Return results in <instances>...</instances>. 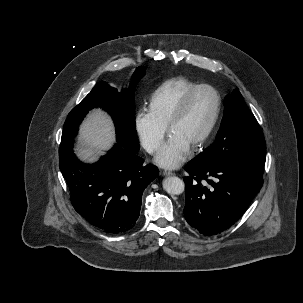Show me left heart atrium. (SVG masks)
<instances>
[{
  "mask_svg": "<svg viewBox=\"0 0 303 303\" xmlns=\"http://www.w3.org/2000/svg\"><path fill=\"white\" fill-rule=\"evenodd\" d=\"M191 146L181 136L171 132L168 140L155 157V163L167 169L178 168L190 153Z\"/></svg>",
  "mask_w": 303,
  "mask_h": 303,
  "instance_id": "1",
  "label": "left heart atrium"
}]
</instances>
